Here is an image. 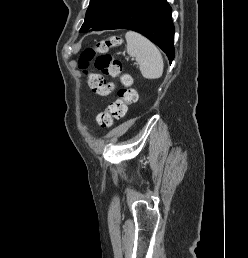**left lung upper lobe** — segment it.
Returning <instances> with one entry per match:
<instances>
[{
  "mask_svg": "<svg viewBox=\"0 0 248 258\" xmlns=\"http://www.w3.org/2000/svg\"><path fill=\"white\" fill-rule=\"evenodd\" d=\"M128 0H90L85 21L80 29L86 32L117 13Z\"/></svg>",
  "mask_w": 248,
  "mask_h": 258,
  "instance_id": "obj_1",
  "label": "left lung upper lobe"
}]
</instances>
